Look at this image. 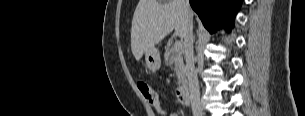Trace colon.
<instances>
[{
	"label": "colon",
	"mask_w": 305,
	"mask_h": 116,
	"mask_svg": "<svg viewBox=\"0 0 305 116\" xmlns=\"http://www.w3.org/2000/svg\"><path fill=\"white\" fill-rule=\"evenodd\" d=\"M137 88L149 105V107L155 112V116H166L167 111L163 106L158 93L151 87V85L145 80H139L137 82Z\"/></svg>",
	"instance_id": "5ec220e1"
}]
</instances>
